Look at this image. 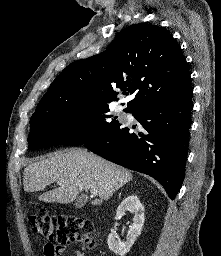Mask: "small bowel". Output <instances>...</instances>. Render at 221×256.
<instances>
[{
    "mask_svg": "<svg viewBox=\"0 0 221 256\" xmlns=\"http://www.w3.org/2000/svg\"><path fill=\"white\" fill-rule=\"evenodd\" d=\"M44 256H54V254L44 251ZM75 256H85V255L83 252L77 250V251H75Z\"/></svg>",
    "mask_w": 221,
    "mask_h": 256,
    "instance_id": "obj_1",
    "label": "small bowel"
}]
</instances>
